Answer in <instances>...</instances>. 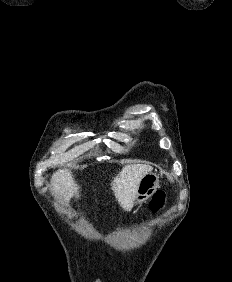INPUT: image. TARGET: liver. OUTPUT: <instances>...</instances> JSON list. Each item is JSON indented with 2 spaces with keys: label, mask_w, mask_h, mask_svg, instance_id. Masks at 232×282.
Instances as JSON below:
<instances>
[{
  "label": "liver",
  "mask_w": 232,
  "mask_h": 282,
  "mask_svg": "<svg viewBox=\"0 0 232 282\" xmlns=\"http://www.w3.org/2000/svg\"><path fill=\"white\" fill-rule=\"evenodd\" d=\"M147 164H130L124 166L113 179L111 186L116 200L125 211H130L137 197V190L143 176L151 172ZM79 187L67 169H59L51 179V191L64 197L66 203L75 195L79 197Z\"/></svg>",
  "instance_id": "obj_1"
}]
</instances>
